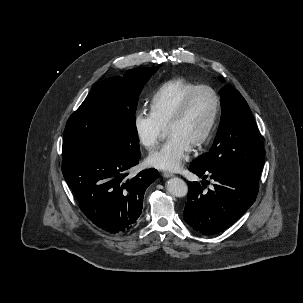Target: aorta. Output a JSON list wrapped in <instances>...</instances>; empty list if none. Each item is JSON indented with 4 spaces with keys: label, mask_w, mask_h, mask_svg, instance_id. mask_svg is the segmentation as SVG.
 I'll return each mask as SVG.
<instances>
[{
    "label": "aorta",
    "mask_w": 303,
    "mask_h": 303,
    "mask_svg": "<svg viewBox=\"0 0 303 303\" xmlns=\"http://www.w3.org/2000/svg\"><path fill=\"white\" fill-rule=\"evenodd\" d=\"M168 193L175 197H184L187 195L188 186L186 182L180 178H171L166 183Z\"/></svg>",
    "instance_id": "aorta-1"
}]
</instances>
